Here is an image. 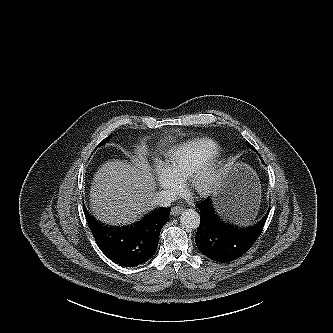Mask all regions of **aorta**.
<instances>
[{
    "label": "aorta",
    "mask_w": 333,
    "mask_h": 333,
    "mask_svg": "<svg viewBox=\"0 0 333 333\" xmlns=\"http://www.w3.org/2000/svg\"><path fill=\"white\" fill-rule=\"evenodd\" d=\"M180 222L187 229H197L200 224V215L194 209H186L180 216Z\"/></svg>",
    "instance_id": "obj_1"
}]
</instances>
